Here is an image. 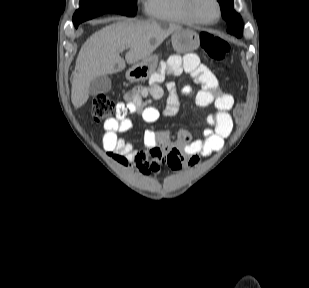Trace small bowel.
I'll list each match as a JSON object with an SVG mask.
<instances>
[{
	"label": "small bowel",
	"instance_id": "small-bowel-1",
	"mask_svg": "<svg viewBox=\"0 0 309 288\" xmlns=\"http://www.w3.org/2000/svg\"><path fill=\"white\" fill-rule=\"evenodd\" d=\"M169 74L177 75L182 71L191 74L193 81L200 88L196 91L191 86L183 87L179 92L185 98L194 99L198 107L206 108L213 105L215 111L206 120L203 138L193 139L187 129H180L175 140L165 131L146 130L144 133V149H137L118 133L132 127L128 115L139 114L145 123L158 121L161 115L175 116L179 109V92L173 83L167 84L166 106L160 112L149 105L153 100L163 97L164 90L160 86V76L152 79L149 85L134 88L126 95V102L118 103L119 114L104 122L103 147L109 154H114L124 166H134L141 175H157L163 166L173 172H180L185 166L197 165L200 158L218 152L224 140L233 130V119L230 112L234 106V98L219 89L214 73L202 64L196 54L184 56L172 55L166 64Z\"/></svg>",
	"mask_w": 309,
	"mask_h": 288
}]
</instances>
